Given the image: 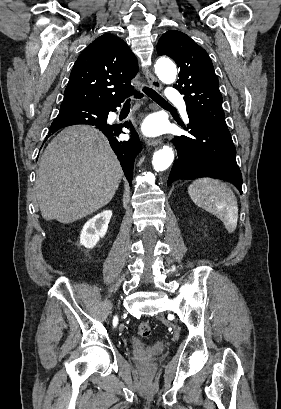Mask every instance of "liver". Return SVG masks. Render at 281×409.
I'll list each match as a JSON object with an SVG mask.
<instances>
[{
  "label": "liver",
  "instance_id": "1",
  "mask_svg": "<svg viewBox=\"0 0 281 409\" xmlns=\"http://www.w3.org/2000/svg\"><path fill=\"white\" fill-rule=\"evenodd\" d=\"M123 170L108 138L88 124L61 130L44 150L35 182L43 219L74 223L108 205Z\"/></svg>",
  "mask_w": 281,
  "mask_h": 409
}]
</instances>
